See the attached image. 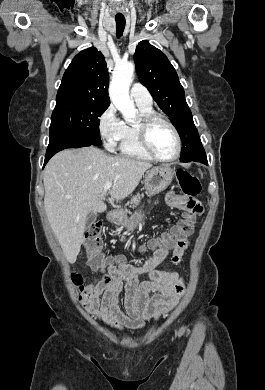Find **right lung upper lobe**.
Masks as SVG:
<instances>
[{
    "mask_svg": "<svg viewBox=\"0 0 265 390\" xmlns=\"http://www.w3.org/2000/svg\"><path fill=\"white\" fill-rule=\"evenodd\" d=\"M105 58L96 48L81 51L66 69L56 101L85 100L110 105Z\"/></svg>",
    "mask_w": 265,
    "mask_h": 390,
    "instance_id": "1",
    "label": "right lung upper lobe"
}]
</instances>
